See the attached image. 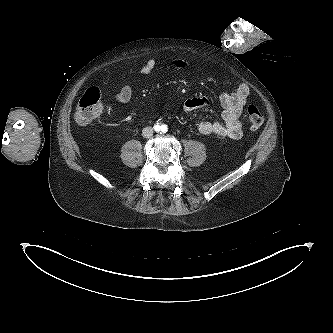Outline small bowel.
<instances>
[{
	"label": "small bowel",
	"mask_w": 333,
	"mask_h": 333,
	"mask_svg": "<svg viewBox=\"0 0 333 333\" xmlns=\"http://www.w3.org/2000/svg\"><path fill=\"white\" fill-rule=\"evenodd\" d=\"M172 63L179 68L187 65L182 59H174ZM156 61L149 59L141 67L143 74H149L154 70ZM132 88L125 84L115 95L114 98L119 103H128L132 97ZM249 96V88L246 84H240L233 92H224L220 96V103L223 107L222 121H209L207 119L197 118L195 112L206 107L209 103L206 97H194L183 103L182 109L189 114L201 134H214L231 139H240L242 137V127L240 115Z\"/></svg>",
	"instance_id": "1"
}]
</instances>
